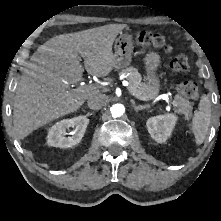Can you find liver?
Wrapping results in <instances>:
<instances>
[{"label": "liver", "instance_id": "6515ba94", "mask_svg": "<svg viewBox=\"0 0 221 221\" xmlns=\"http://www.w3.org/2000/svg\"><path fill=\"white\" fill-rule=\"evenodd\" d=\"M123 24H110L55 36L41 45L24 69L14 98L13 124L17 136L25 138L37 128L77 109L99 90L71 89L86 71L105 77L114 68L113 42Z\"/></svg>", "mask_w": 221, "mask_h": 221}]
</instances>
